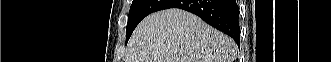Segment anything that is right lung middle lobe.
Returning a JSON list of instances; mask_svg holds the SVG:
<instances>
[{
	"label": "right lung middle lobe",
	"mask_w": 331,
	"mask_h": 62,
	"mask_svg": "<svg viewBox=\"0 0 331 62\" xmlns=\"http://www.w3.org/2000/svg\"><path fill=\"white\" fill-rule=\"evenodd\" d=\"M171 0H133L128 15L127 36L128 41L138 23L150 13L162 10Z\"/></svg>",
	"instance_id": "dd1d6c3e"
}]
</instances>
